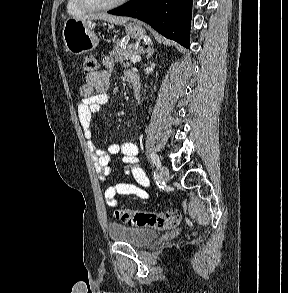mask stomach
Masks as SVG:
<instances>
[{"mask_svg":"<svg viewBox=\"0 0 288 293\" xmlns=\"http://www.w3.org/2000/svg\"><path fill=\"white\" fill-rule=\"evenodd\" d=\"M125 30L127 35L132 38L145 35V30L135 22L126 24ZM62 35L66 50L75 55L92 51L99 44V39L94 33L91 20L67 19L64 23Z\"/></svg>","mask_w":288,"mask_h":293,"instance_id":"obj_1","label":"stomach"}]
</instances>
